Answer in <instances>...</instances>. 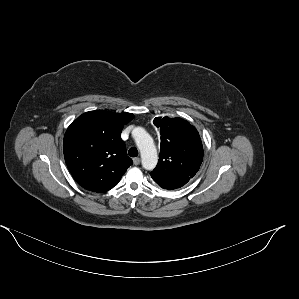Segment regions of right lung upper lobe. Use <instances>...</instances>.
Wrapping results in <instances>:
<instances>
[{
	"label": "right lung upper lobe",
	"instance_id": "cb5924a9",
	"mask_svg": "<svg viewBox=\"0 0 299 299\" xmlns=\"http://www.w3.org/2000/svg\"><path fill=\"white\" fill-rule=\"evenodd\" d=\"M131 113L90 111L67 129L64 141L66 164L76 182L93 192H106L118 184L132 159L121 139Z\"/></svg>",
	"mask_w": 299,
	"mask_h": 299
}]
</instances>
